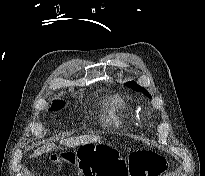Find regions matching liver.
Returning <instances> with one entry per match:
<instances>
[{"label":"liver","instance_id":"1","mask_svg":"<svg viewBox=\"0 0 205 176\" xmlns=\"http://www.w3.org/2000/svg\"><path fill=\"white\" fill-rule=\"evenodd\" d=\"M101 140L100 136L98 135H84L80 137H71L67 139H63L60 141V144L65 145L67 147H76L79 145H85L90 143H96ZM54 148L53 144H48L43 147L38 148L34 151V153L30 157H37L42 155L43 153H47Z\"/></svg>","mask_w":205,"mask_h":176}]
</instances>
